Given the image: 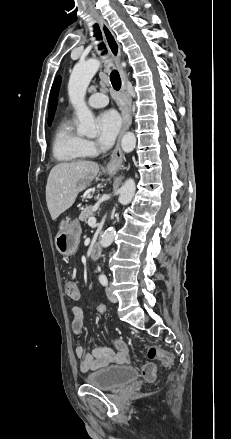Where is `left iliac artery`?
<instances>
[{
  "instance_id": "left-iliac-artery-1",
  "label": "left iliac artery",
  "mask_w": 231,
  "mask_h": 439,
  "mask_svg": "<svg viewBox=\"0 0 231 439\" xmlns=\"http://www.w3.org/2000/svg\"><path fill=\"white\" fill-rule=\"evenodd\" d=\"M99 281L103 286H107V284H108V279L105 275L100 276Z\"/></svg>"
}]
</instances>
